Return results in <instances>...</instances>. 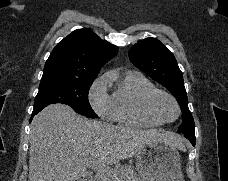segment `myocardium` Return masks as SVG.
Here are the masks:
<instances>
[{
    "instance_id": "f54148a6",
    "label": "myocardium",
    "mask_w": 228,
    "mask_h": 181,
    "mask_svg": "<svg viewBox=\"0 0 228 181\" xmlns=\"http://www.w3.org/2000/svg\"><path fill=\"white\" fill-rule=\"evenodd\" d=\"M155 94H161L165 97H167L171 103H172V106H173V109H174V112L177 114L178 113V106L174 100V98L169 95L168 93H166L165 91H162V90H158V89H151L149 91H147L146 93H144V95L142 96V99H141V102H140V110L142 112V115L151 120V121H154V122H158V123H165V122H168L170 121V119H160V118H157L152 109H151V98L155 95Z\"/></svg>"
}]
</instances>
